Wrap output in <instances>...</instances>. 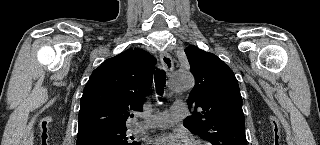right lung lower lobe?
Instances as JSON below:
<instances>
[{"mask_svg": "<svg viewBox=\"0 0 320 145\" xmlns=\"http://www.w3.org/2000/svg\"><path fill=\"white\" fill-rule=\"evenodd\" d=\"M77 145H111L105 141L97 139H83L77 140Z\"/></svg>", "mask_w": 320, "mask_h": 145, "instance_id": "1", "label": "right lung lower lobe"}]
</instances>
